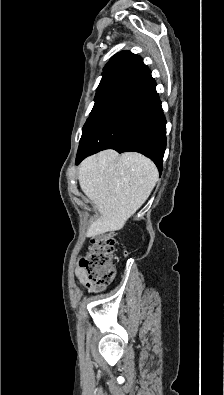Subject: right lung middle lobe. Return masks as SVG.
<instances>
[{
  "instance_id": "1",
  "label": "right lung middle lobe",
  "mask_w": 224,
  "mask_h": 395,
  "mask_svg": "<svg viewBox=\"0 0 224 395\" xmlns=\"http://www.w3.org/2000/svg\"><path fill=\"white\" fill-rule=\"evenodd\" d=\"M117 75H118V72H115V73H112L110 75H106V76L102 77V80H101V82H100V84H99V86L97 88V92H96V95H95V104H94V107H93V109H92V111L90 113L89 118L91 117V115L93 114V112L95 111L97 106L100 104V102L103 100V98L106 95V93L110 90V88L113 85L114 80L116 79ZM89 118H88V120H89ZM86 123H85V125H86Z\"/></svg>"
}]
</instances>
